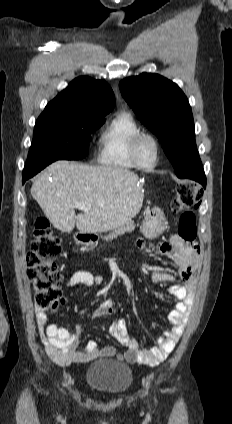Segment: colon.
Here are the masks:
<instances>
[{"label": "colon", "instance_id": "1", "mask_svg": "<svg viewBox=\"0 0 232 424\" xmlns=\"http://www.w3.org/2000/svg\"><path fill=\"white\" fill-rule=\"evenodd\" d=\"M202 198L201 189L191 183H181L176 189L171 206L173 211L181 213L178 236L184 242L193 243L197 238L196 216L192 209L199 207ZM34 234L26 257V275L35 292L36 307L43 311H56L60 303L62 277L55 260L61 254V240L43 217L36 220Z\"/></svg>", "mask_w": 232, "mask_h": 424}]
</instances>
